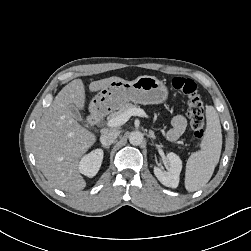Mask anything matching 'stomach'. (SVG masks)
Listing matches in <instances>:
<instances>
[{"label": "stomach", "instance_id": "obj_1", "mask_svg": "<svg viewBox=\"0 0 251 251\" xmlns=\"http://www.w3.org/2000/svg\"><path fill=\"white\" fill-rule=\"evenodd\" d=\"M167 98L168 89L163 81L155 76L143 75L133 81H112L92 99L90 108L92 111L103 113L117 109L128 101L144 105L160 104Z\"/></svg>", "mask_w": 251, "mask_h": 251}]
</instances>
